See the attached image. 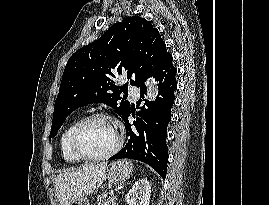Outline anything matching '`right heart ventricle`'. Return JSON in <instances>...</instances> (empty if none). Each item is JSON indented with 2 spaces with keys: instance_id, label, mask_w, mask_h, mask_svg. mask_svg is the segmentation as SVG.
<instances>
[{
  "instance_id": "1",
  "label": "right heart ventricle",
  "mask_w": 269,
  "mask_h": 205,
  "mask_svg": "<svg viewBox=\"0 0 269 205\" xmlns=\"http://www.w3.org/2000/svg\"><path fill=\"white\" fill-rule=\"evenodd\" d=\"M81 120L82 118L78 117L71 121L60 137L61 154L63 159L68 163H77L80 161V159L73 153L71 149L70 140L74 129L81 122Z\"/></svg>"
}]
</instances>
